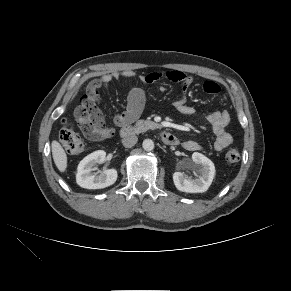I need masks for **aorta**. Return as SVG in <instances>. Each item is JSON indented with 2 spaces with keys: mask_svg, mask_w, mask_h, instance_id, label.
<instances>
[{
  "mask_svg": "<svg viewBox=\"0 0 291 291\" xmlns=\"http://www.w3.org/2000/svg\"><path fill=\"white\" fill-rule=\"evenodd\" d=\"M142 147L145 151H152L154 149V142L151 139H145Z\"/></svg>",
  "mask_w": 291,
  "mask_h": 291,
  "instance_id": "762f6f07",
  "label": "aorta"
}]
</instances>
